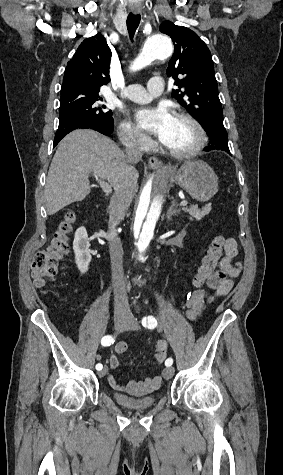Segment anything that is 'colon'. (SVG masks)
Listing matches in <instances>:
<instances>
[{"label":"colon","mask_w":283,"mask_h":475,"mask_svg":"<svg viewBox=\"0 0 283 475\" xmlns=\"http://www.w3.org/2000/svg\"><path fill=\"white\" fill-rule=\"evenodd\" d=\"M76 225V215L74 212H67L64 219L59 223L54 237L49 244L38 249L33 256L32 276L37 286L45 285L54 280L57 273L58 262L66 257L70 252L71 238ZM225 246L223 234H217L207 252L201 260V264L193 278L192 283L195 289L199 288L201 282L210 280L214 274L216 266L219 264ZM167 342L159 340L154 348V356L157 362H162L166 355Z\"/></svg>","instance_id":"1"}]
</instances>
